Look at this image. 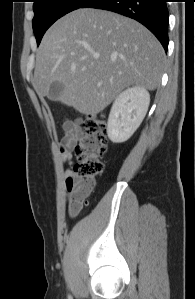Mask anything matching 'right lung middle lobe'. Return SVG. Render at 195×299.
<instances>
[{"instance_id":"right-lung-middle-lobe-1","label":"right lung middle lobe","mask_w":195,"mask_h":299,"mask_svg":"<svg viewBox=\"0 0 195 299\" xmlns=\"http://www.w3.org/2000/svg\"><path fill=\"white\" fill-rule=\"evenodd\" d=\"M88 0H34L33 31L40 43L45 31L60 17L81 8Z\"/></svg>"}]
</instances>
